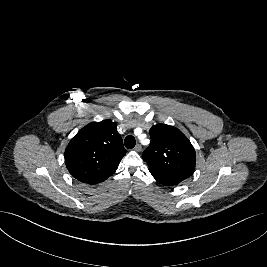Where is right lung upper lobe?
<instances>
[{
  "label": "right lung upper lobe",
  "mask_w": 267,
  "mask_h": 267,
  "mask_svg": "<svg viewBox=\"0 0 267 267\" xmlns=\"http://www.w3.org/2000/svg\"><path fill=\"white\" fill-rule=\"evenodd\" d=\"M126 152L115 123L92 122L69 142L65 164L74 178L91 184L113 174Z\"/></svg>",
  "instance_id": "cb5924a9"
}]
</instances>
